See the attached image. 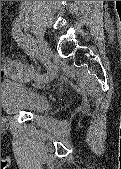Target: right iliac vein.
I'll list each match as a JSON object with an SVG mask.
<instances>
[{"label":"right iliac vein","instance_id":"obj_1","mask_svg":"<svg viewBox=\"0 0 121 169\" xmlns=\"http://www.w3.org/2000/svg\"><path fill=\"white\" fill-rule=\"evenodd\" d=\"M22 22H23V26L25 27V29L32 28V24L29 19L24 18L22 20ZM36 42L38 43L39 50L42 53V55L44 56V58H47L50 55L51 50H50L47 42L45 41V39L39 33H36ZM52 78H53V73L50 71L46 82L51 80Z\"/></svg>","mask_w":121,"mask_h":169}]
</instances>
